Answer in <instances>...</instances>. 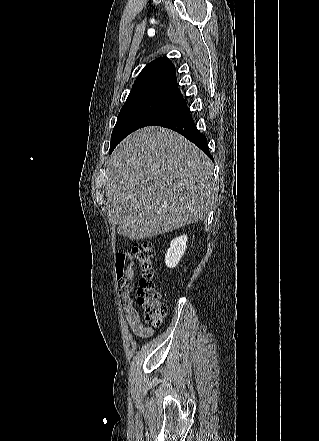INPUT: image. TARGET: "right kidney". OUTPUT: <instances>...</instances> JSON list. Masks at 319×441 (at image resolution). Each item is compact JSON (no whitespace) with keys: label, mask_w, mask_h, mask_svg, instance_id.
Segmentation results:
<instances>
[{"label":"right kidney","mask_w":319,"mask_h":441,"mask_svg":"<svg viewBox=\"0 0 319 441\" xmlns=\"http://www.w3.org/2000/svg\"><path fill=\"white\" fill-rule=\"evenodd\" d=\"M187 235H182L174 238L170 243V248H168L165 255V264L169 268H174L177 266L182 256L187 248Z\"/></svg>","instance_id":"ca27d5eb"}]
</instances>
